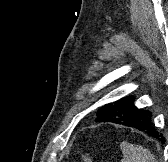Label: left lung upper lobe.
<instances>
[{
    "label": "left lung upper lobe",
    "instance_id": "5c2ea615",
    "mask_svg": "<svg viewBox=\"0 0 168 162\" xmlns=\"http://www.w3.org/2000/svg\"><path fill=\"white\" fill-rule=\"evenodd\" d=\"M104 107H102L99 111H98V113H97V118L96 119H99V118H101L102 116H101V112H102V109H103Z\"/></svg>",
    "mask_w": 168,
    "mask_h": 162
}]
</instances>
